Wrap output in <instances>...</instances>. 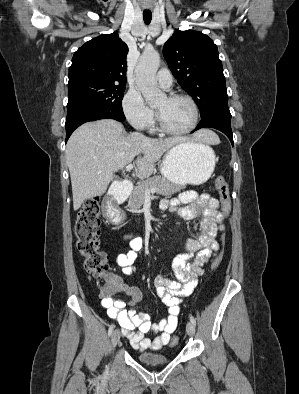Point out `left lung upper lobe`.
Here are the masks:
<instances>
[{
  "label": "left lung upper lobe",
  "instance_id": "obj_1",
  "mask_svg": "<svg viewBox=\"0 0 299 394\" xmlns=\"http://www.w3.org/2000/svg\"><path fill=\"white\" fill-rule=\"evenodd\" d=\"M163 54L179 85L195 100L201 117L227 107V91L218 49L207 35L177 31L165 43Z\"/></svg>",
  "mask_w": 299,
  "mask_h": 394
}]
</instances>
